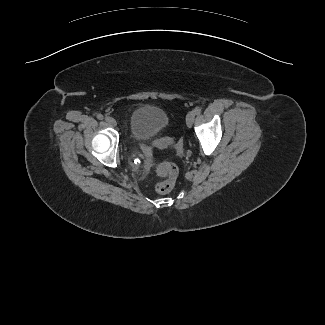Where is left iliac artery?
I'll return each mask as SVG.
<instances>
[{
	"instance_id": "1",
	"label": "left iliac artery",
	"mask_w": 325,
	"mask_h": 325,
	"mask_svg": "<svg viewBox=\"0 0 325 325\" xmlns=\"http://www.w3.org/2000/svg\"><path fill=\"white\" fill-rule=\"evenodd\" d=\"M195 114H200L201 113V108L199 106L195 107L194 109Z\"/></svg>"
}]
</instances>
